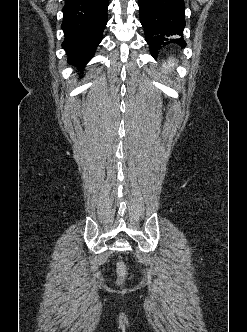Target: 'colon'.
Segmentation results:
<instances>
[{
  "label": "colon",
  "mask_w": 247,
  "mask_h": 332,
  "mask_svg": "<svg viewBox=\"0 0 247 332\" xmlns=\"http://www.w3.org/2000/svg\"><path fill=\"white\" fill-rule=\"evenodd\" d=\"M117 275L119 283H122L127 276L126 266L123 262L117 264Z\"/></svg>",
  "instance_id": "5ec220e1"
}]
</instances>
